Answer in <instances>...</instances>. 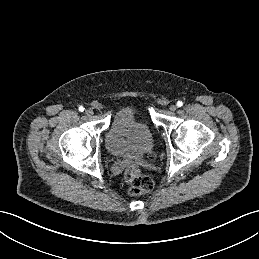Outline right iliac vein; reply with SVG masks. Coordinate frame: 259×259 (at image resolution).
I'll use <instances>...</instances> for the list:
<instances>
[{"instance_id":"obj_1","label":"right iliac vein","mask_w":259,"mask_h":259,"mask_svg":"<svg viewBox=\"0 0 259 259\" xmlns=\"http://www.w3.org/2000/svg\"><path fill=\"white\" fill-rule=\"evenodd\" d=\"M85 113H86L87 116L90 117V116L93 115V110L92 109H87Z\"/></svg>"}]
</instances>
